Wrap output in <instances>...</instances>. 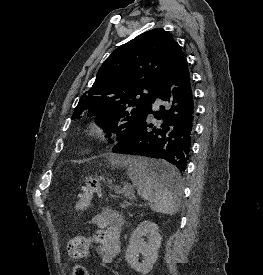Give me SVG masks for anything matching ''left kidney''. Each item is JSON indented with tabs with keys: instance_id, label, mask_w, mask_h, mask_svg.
<instances>
[{
	"instance_id": "obj_1",
	"label": "left kidney",
	"mask_w": 263,
	"mask_h": 275,
	"mask_svg": "<svg viewBox=\"0 0 263 275\" xmlns=\"http://www.w3.org/2000/svg\"><path fill=\"white\" fill-rule=\"evenodd\" d=\"M144 236L148 242L144 241ZM161 236L157 224L150 221L141 222L131 234L129 245L125 253L127 263L137 272L146 275L153 268L158 259V249L161 245ZM139 254H142L143 261H138Z\"/></svg>"
}]
</instances>
